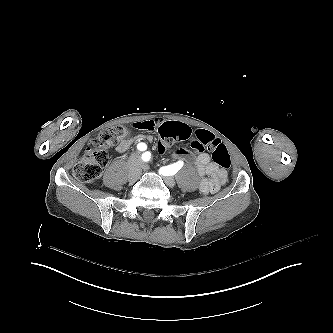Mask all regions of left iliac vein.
Wrapping results in <instances>:
<instances>
[{"instance_id":"4c4485c4","label":"left iliac vein","mask_w":333,"mask_h":333,"mask_svg":"<svg viewBox=\"0 0 333 333\" xmlns=\"http://www.w3.org/2000/svg\"><path fill=\"white\" fill-rule=\"evenodd\" d=\"M143 169L147 172L149 170L148 165L144 164L143 165ZM164 182L169 186V187H174L176 185V180L171 177V176H167V177H162Z\"/></svg>"}]
</instances>
